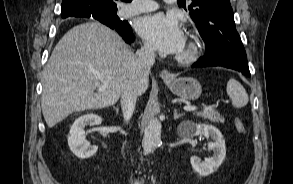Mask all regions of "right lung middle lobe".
Segmentation results:
<instances>
[{
	"instance_id": "obj_1",
	"label": "right lung middle lobe",
	"mask_w": 293,
	"mask_h": 184,
	"mask_svg": "<svg viewBox=\"0 0 293 184\" xmlns=\"http://www.w3.org/2000/svg\"><path fill=\"white\" fill-rule=\"evenodd\" d=\"M79 6L86 11L92 12L105 10V5L103 3L93 0H82L79 2ZM116 12L117 9H114L104 13V15L112 19H118V17L116 16Z\"/></svg>"
}]
</instances>
